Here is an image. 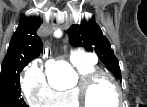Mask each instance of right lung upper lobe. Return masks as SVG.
<instances>
[{
    "label": "right lung upper lobe",
    "instance_id": "1",
    "mask_svg": "<svg viewBox=\"0 0 147 107\" xmlns=\"http://www.w3.org/2000/svg\"><path fill=\"white\" fill-rule=\"evenodd\" d=\"M39 18H21L12 35L8 52L2 62L1 76L18 72L23 64L37 58L42 51V40L36 31L40 27Z\"/></svg>",
    "mask_w": 147,
    "mask_h": 107
}]
</instances>
